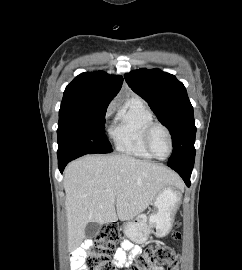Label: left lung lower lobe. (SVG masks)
Listing matches in <instances>:
<instances>
[{"mask_svg": "<svg viewBox=\"0 0 242 270\" xmlns=\"http://www.w3.org/2000/svg\"><path fill=\"white\" fill-rule=\"evenodd\" d=\"M169 167L175 170L182 177V179L185 181L187 186H190V176H191L193 166H187V167L169 166Z\"/></svg>", "mask_w": 242, "mask_h": 270, "instance_id": "1", "label": "left lung lower lobe"}]
</instances>
